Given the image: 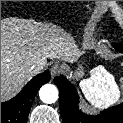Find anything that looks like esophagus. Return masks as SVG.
I'll return each mask as SVG.
<instances>
[{
	"label": "esophagus",
	"instance_id": "esophagus-1",
	"mask_svg": "<svg viewBox=\"0 0 123 123\" xmlns=\"http://www.w3.org/2000/svg\"><path fill=\"white\" fill-rule=\"evenodd\" d=\"M62 71V66L59 63H55L52 65L50 69L51 76L54 78L55 76L59 75Z\"/></svg>",
	"mask_w": 123,
	"mask_h": 123
}]
</instances>
